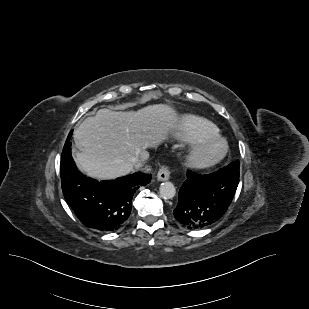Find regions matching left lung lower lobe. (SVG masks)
Wrapping results in <instances>:
<instances>
[{
	"label": "left lung lower lobe",
	"instance_id": "obj_1",
	"mask_svg": "<svg viewBox=\"0 0 309 309\" xmlns=\"http://www.w3.org/2000/svg\"><path fill=\"white\" fill-rule=\"evenodd\" d=\"M239 183V174L227 167L207 175L187 172L179 191L174 217L188 229L216 223L227 211Z\"/></svg>",
	"mask_w": 309,
	"mask_h": 309
}]
</instances>
